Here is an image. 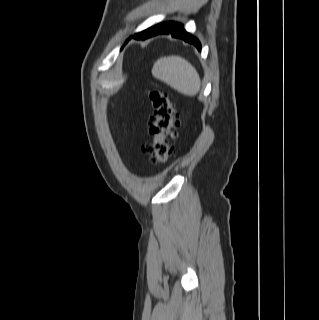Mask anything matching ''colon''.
I'll list each match as a JSON object with an SVG mask.
<instances>
[{
  "label": "colon",
  "mask_w": 319,
  "mask_h": 320,
  "mask_svg": "<svg viewBox=\"0 0 319 320\" xmlns=\"http://www.w3.org/2000/svg\"><path fill=\"white\" fill-rule=\"evenodd\" d=\"M147 96L152 105L149 123L151 140L144 146V152L153 163L164 164L173 154L180 121L167 92L151 88Z\"/></svg>",
  "instance_id": "colon-1"
}]
</instances>
